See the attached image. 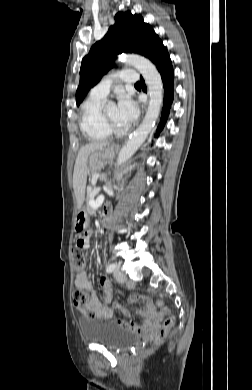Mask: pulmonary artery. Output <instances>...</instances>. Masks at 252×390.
Listing matches in <instances>:
<instances>
[{"label": "pulmonary artery", "instance_id": "e3ab8cb5", "mask_svg": "<svg viewBox=\"0 0 252 390\" xmlns=\"http://www.w3.org/2000/svg\"><path fill=\"white\" fill-rule=\"evenodd\" d=\"M122 81L125 82H137L138 81V74L129 69L121 70L117 74ZM114 82V76L109 75L105 77L102 81H100L97 85H95L91 91L90 95L97 98H103L105 99L110 91V88Z\"/></svg>", "mask_w": 252, "mask_h": 390}]
</instances>
